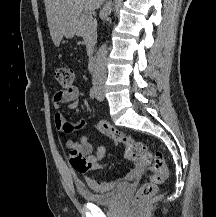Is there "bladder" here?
Returning a JSON list of instances; mask_svg holds the SVG:
<instances>
[{
	"instance_id": "31cf9c89",
	"label": "bladder",
	"mask_w": 216,
	"mask_h": 217,
	"mask_svg": "<svg viewBox=\"0 0 216 217\" xmlns=\"http://www.w3.org/2000/svg\"><path fill=\"white\" fill-rule=\"evenodd\" d=\"M126 189V186H121L107 193H94L82 188L80 189V194L86 202L94 203L97 205H111L119 200L122 193Z\"/></svg>"
}]
</instances>
